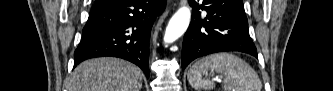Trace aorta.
Returning <instances> with one entry per match:
<instances>
[{
    "mask_svg": "<svg viewBox=\"0 0 333 91\" xmlns=\"http://www.w3.org/2000/svg\"><path fill=\"white\" fill-rule=\"evenodd\" d=\"M191 19L190 8L183 6L172 16L164 34L165 43H173L187 30Z\"/></svg>",
    "mask_w": 333,
    "mask_h": 91,
    "instance_id": "1",
    "label": "aorta"
}]
</instances>
